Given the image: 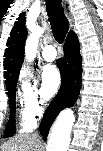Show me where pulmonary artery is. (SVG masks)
Instances as JSON below:
<instances>
[{
	"instance_id": "obj_1",
	"label": "pulmonary artery",
	"mask_w": 103,
	"mask_h": 151,
	"mask_svg": "<svg viewBox=\"0 0 103 151\" xmlns=\"http://www.w3.org/2000/svg\"><path fill=\"white\" fill-rule=\"evenodd\" d=\"M42 55L46 61H54L57 57V52L53 45H47L44 47Z\"/></svg>"
}]
</instances>
